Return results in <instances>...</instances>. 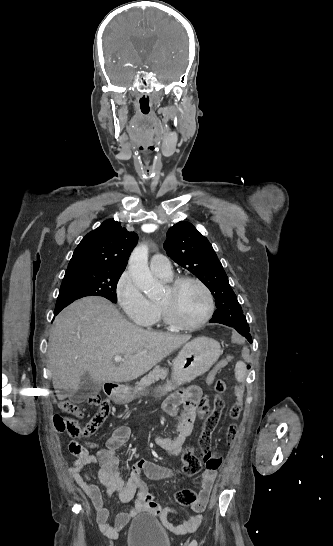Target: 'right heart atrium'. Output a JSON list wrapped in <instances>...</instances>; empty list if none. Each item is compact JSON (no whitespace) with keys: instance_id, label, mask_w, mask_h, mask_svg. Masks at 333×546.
<instances>
[{"instance_id":"1","label":"right heart atrium","mask_w":333,"mask_h":546,"mask_svg":"<svg viewBox=\"0 0 333 546\" xmlns=\"http://www.w3.org/2000/svg\"><path fill=\"white\" fill-rule=\"evenodd\" d=\"M115 297L125 316L131 321L148 325L154 318L156 309L137 286L130 272L125 271L115 285Z\"/></svg>"}]
</instances>
